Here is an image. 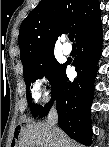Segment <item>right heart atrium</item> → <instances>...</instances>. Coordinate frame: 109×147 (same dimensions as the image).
Wrapping results in <instances>:
<instances>
[{"mask_svg":"<svg viewBox=\"0 0 109 147\" xmlns=\"http://www.w3.org/2000/svg\"><path fill=\"white\" fill-rule=\"evenodd\" d=\"M50 95L49 82L47 78H41L34 82L32 86V96L36 101L48 99Z\"/></svg>","mask_w":109,"mask_h":147,"instance_id":"obj_1","label":"right heart atrium"}]
</instances>
